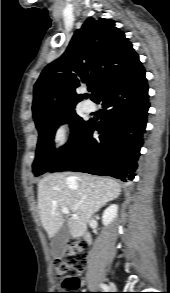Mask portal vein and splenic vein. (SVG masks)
<instances>
[{
  "mask_svg": "<svg viewBox=\"0 0 170 293\" xmlns=\"http://www.w3.org/2000/svg\"><path fill=\"white\" fill-rule=\"evenodd\" d=\"M61 211H62L63 214H69L70 213L69 210L66 207H62ZM72 217L77 218V215L72 214Z\"/></svg>",
  "mask_w": 170,
  "mask_h": 293,
  "instance_id": "18ae733b",
  "label": "portal vein and splenic vein"
}]
</instances>
